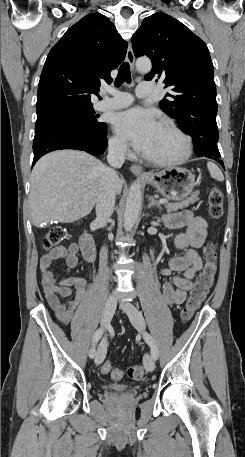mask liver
<instances>
[{"label": "liver", "instance_id": "6515ba94", "mask_svg": "<svg viewBox=\"0 0 245 457\" xmlns=\"http://www.w3.org/2000/svg\"><path fill=\"white\" fill-rule=\"evenodd\" d=\"M101 160L84 150H54L31 172L29 208L34 226L45 220L73 222L91 212L98 194ZM123 182L118 178L116 194Z\"/></svg>", "mask_w": 245, "mask_h": 457}]
</instances>
